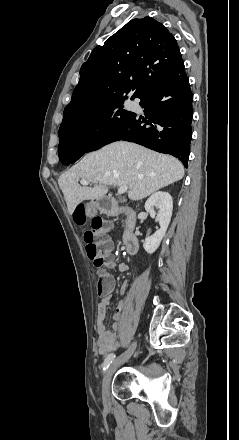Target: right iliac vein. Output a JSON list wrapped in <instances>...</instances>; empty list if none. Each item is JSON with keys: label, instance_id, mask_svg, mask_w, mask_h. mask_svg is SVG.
<instances>
[{"label": "right iliac vein", "instance_id": "63e3f726", "mask_svg": "<svg viewBox=\"0 0 239 440\" xmlns=\"http://www.w3.org/2000/svg\"><path fill=\"white\" fill-rule=\"evenodd\" d=\"M136 345L137 343L133 342L129 349L122 355H120L117 359H115L108 367L102 381V396L105 401H107L109 398L110 382L114 372L121 364L125 363L132 356L134 350L136 349Z\"/></svg>", "mask_w": 239, "mask_h": 440}]
</instances>
